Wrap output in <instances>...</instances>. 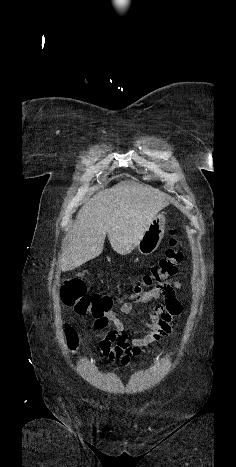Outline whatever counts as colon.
Wrapping results in <instances>:
<instances>
[{
    "label": "colon",
    "instance_id": "colon-1",
    "mask_svg": "<svg viewBox=\"0 0 236 467\" xmlns=\"http://www.w3.org/2000/svg\"><path fill=\"white\" fill-rule=\"evenodd\" d=\"M181 241L174 229L171 230L169 247L165 256L152 265L142 276L140 282L134 287L132 295H141L155 289H160L167 284L169 278L177 273V265L182 260L180 250ZM61 299L64 305L74 308L76 313L91 314L94 317H102L114 307V299L107 294H90L86 284L79 277L66 279L61 287ZM70 349H75L77 338L71 330L67 333Z\"/></svg>",
    "mask_w": 236,
    "mask_h": 467
}]
</instances>
